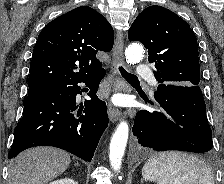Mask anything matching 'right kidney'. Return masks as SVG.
<instances>
[{"label":"right kidney","instance_id":"ca27d5eb","mask_svg":"<svg viewBox=\"0 0 224 184\" xmlns=\"http://www.w3.org/2000/svg\"><path fill=\"white\" fill-rule=\"evenodd\" d=\"M50 184H78V182L74 181L73 179H61L51 182Z\"/></svg>","mask_w":224,"mask_h":184}]
</instances>
